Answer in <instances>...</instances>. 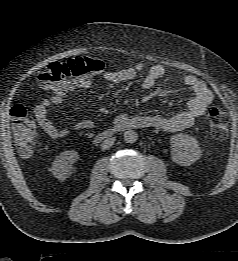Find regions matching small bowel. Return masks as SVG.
Returning <instances> with one entry per match:
<instances>
[{
  "instance_id": "c3829d8e",
  "label": "small bowel",
  "mask_w": 238,
  "mask_h": 261,
  "mask_svg": "<svg viewBox=\"0 0 238 261\" xmlns=\"http://www.w3.org/2000/svg\"><path fill=\"white\" fill-rule=\"evenodd\" d=\"M146 69L144 62H138L133 66L108 70L104 69L102 77L109 83H120L134 78L138 73ZM166 69L163 65L157 64L152 66L142 81V86L145 89L152 88L158 79L165 75ZM183 83L192 92L193 97L189 100L187 108L171 117H164L161 115H140L132 116L127 113L119 114L114 121V125L125 129L131 128H156L165 132H178L190 128L194 122L201 117L209 105L213 101V94L207 85L199 78L193 75H186L183 77ZM91 86V78L85 77L73 81L69 89L74 88L88 89ZM66 92H55L49 98L42 100L34 109L35 118L41 129L51 138H63L70 132L67 127H59L53 123L48 116V111L51 107L60 105L63 102L64 94ZM95 127L92 119H83L72 126L73 130H90Z\"/></svg>"
}]
</instances>
